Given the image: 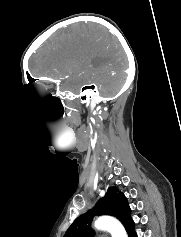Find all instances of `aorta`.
<instances>
[{"label": "aorta", "mask_w": 181, "mask_h": 237, "mask_svg": "<svg viewBox=\"0 0 181 237\" xmlns=\"http://www.w3.org/2000/svg\"><path fill=\"white\" fill-rule=\"evenodd\" d=\"M94 226L98 230H106L110 232L112 237H128L121 223L110 216L99 217L95 221Z\"/></svg>", "instance_id": "762f6f07"}]
</instances>
